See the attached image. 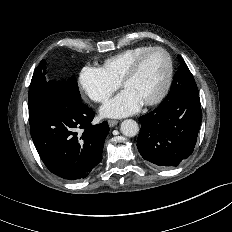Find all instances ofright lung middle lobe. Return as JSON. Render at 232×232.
<instances>
[{
	"label": "right lung middle lobe",
	"instance_id": "dd1d6c3e",
	"mask_svg": "<svg viewBox=\"0 0 232 232\" xmlns=\"http://www.w3.org/2000/svg\"><path fill=\"white\" fill-rule=\"evenodd\" d=\"M46 62L41 61L39 66L35 69L29 94H28V108H29V122H33L36 119L38 113L42 110L41 102L43 98L50 93L52 86L56 81H47L46 80ZM63 82L71 92L80 99V93L75 77H71L68 81H58Z\"/></svg>",
	"mask_w": 232,
	"mask_h": 232
}]
</instances>
